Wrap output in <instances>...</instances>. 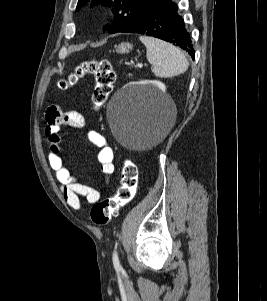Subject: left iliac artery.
I'll return each instance as SVG.
<instances>
[{
    "label": "left iliac artery",
    "mask_w": 267,
    "mask_h": 301,
    "mask_svg": "<svg viewBox=\"0 0 267 301\" xmlns=\"http://www.w3.org/2000/svg\"><path fill=\"white\" fill-rule=\"evenodd\" d=\"M113 265H114L115 268H121L116 248H115L114 253H113Z\"/></svg>",
    "instance_id": "44dca946"
}]
</instances>
